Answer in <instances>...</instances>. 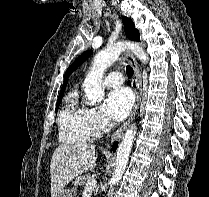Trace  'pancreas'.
Masks as SVG:
<instances>
[{
  "label": "pancreas",
  "instance_id": "pancreas-1",
  "mask_svg": "<svg viewBox=\"0 0 209 197\" xmlns=\"http://www.w3.org/2000/svg\"><path fill=\"white\" fill-rule=\"evenodd\" d=\"M93 179H94V177L91 176L90 174H87L86 176H79L74 180L73 185L74 186H84L85 184H87V182H89Z\"/></svg>",
  "mask_w": 209,
  "mask_h": 197
}]
</instances>
